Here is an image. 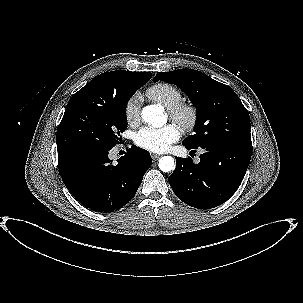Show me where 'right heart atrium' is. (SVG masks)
<instances>
[{
	"label": "right heart atrium",
	"instance_id": "d8ad5b80",
	"mask_svg": "<svg viewBox=\"0 0 303 303\" xmlns=\"http://www.w3.org/2000/svg\"><path fill=\"white\" fill-rule=\"evenodd\" d=\"M141 97L139 94H133L126 102L124 107L125 118L129 125H137L140 122Z\"/></svg>",
	"mask_w": 303,
	"mask_h": 303
}]
</instances>
